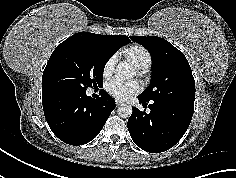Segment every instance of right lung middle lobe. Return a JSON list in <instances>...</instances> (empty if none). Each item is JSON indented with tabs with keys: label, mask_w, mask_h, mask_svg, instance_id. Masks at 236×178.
<instances>
[{
	"label": "right lung middle lobe",
	"mask_w": 236,
	"mask_h": 178,
	"mask_svg": "<svg viewBox=\"0 0 236 178\" xmlns=\"http://www.w3.org/2000/svg\"><path fill=\"white\" fill-rule=\"evenodd\" d=\"M118 46L73 42L57 47L42 76V92H85L102 84L103 71Z\"/></svg>",
	"instance_id": "1"
}]
</instances>
